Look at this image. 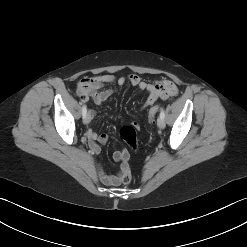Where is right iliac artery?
<instances>
[{
  "mask_svg": "<svg viewBox=\"0 0 247 247\" xmlns=\"http://www.w3.org/2000/svg\"><path fill=\"white\" fill-rule=\"evenodd\" d=\"M86 114H87V108H86L85 105H83L82 106V116H83V118L86 116Z\"/></svg>",
  "mask_w": 247,
  "mask_h": 247,
  "instance_id": "1",
  "label": "right iliac artery"
}]
</instances>
